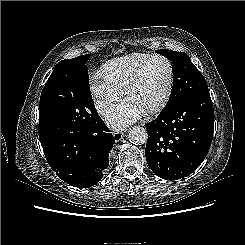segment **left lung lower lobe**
Instances as JSON below:
<instances>
[{
  "mask_svg": "<svg viewBox=\"0 0 245 245\" xmlns=\"http://www.w3.org/2000/svg\"><path fill=\"white\" fill-rule=\"evenodd\" d=\"M145 156L160 178L177 180L194 172L213 138L214 109L209 91L196 92L145 125Z\"/></svg>",
  "mask_w": 245,
  "mask_h": 245,
  "instance_id": "1",
  "label": "left lung lower lobe"
}]
</instances>
